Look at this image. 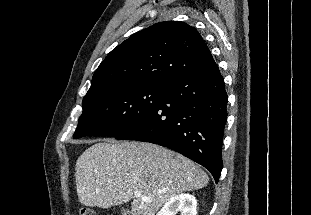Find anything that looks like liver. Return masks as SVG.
Listing matches in <instances>:
<instances>
[{
    "instance_id": "1",
    "label": "liver",
    "mask_w": 311,
    "mask_h": 215,
    "mask_svg": "<svg viewBox=\"0 0 311 215\" xmlns=\"http://www.w3.org/2000/svg\"><path fill=\"white\" fill-rule=\"evenodd\" d=\"M75 170L82 205L108 209L133 199L131 215H155L171 197L201 189L209 181L190 159L143 142L93 144L77 159ZM135 191L141 197H134Z\"/></svg>"
}]
</instances>
